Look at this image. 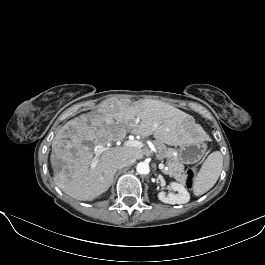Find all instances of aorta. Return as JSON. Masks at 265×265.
Listing matches in <instances>:
<instances>
[{"instance_id":"1","label":"aorta","mask_w":265,"mask_h":265,"mask_svg":"<svg viewBox=\"0 0 265 265\" xmlns=\"http://www.w3.org/2000/svg\"><path fill=\"white\" fill-rule=\"evenodd\" d=\"M136 171L138 174H148L150 169H149V165L146 162H140L137 164L136 166Z\"/></svg>"}]
</instances>
